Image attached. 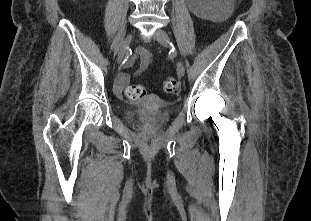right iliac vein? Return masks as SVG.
Wrapping results in <instances>:
<instances>
[{
  "mask_svg": "<svg viewBox=\"0 0 311 221\" xmlns=\"http://www.w3.org/2000/svg\"><path fill=\"white\" fill-rule=\"evenodd\" d=\"M132 38H133L132 34H128L127 37L125 38L118 53V59H117L118 63H120L123 60L125 54L127 53L129 46L131 44Z\"/></svg>",
  "mask_w": 311,
  "mask_h": 221,
  "instance_id": "1",
  "label": "right iliac vein"
}]
</instances>
